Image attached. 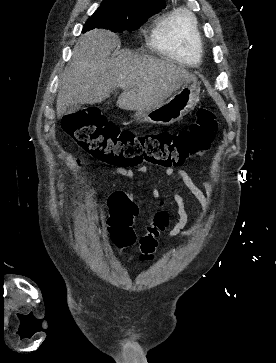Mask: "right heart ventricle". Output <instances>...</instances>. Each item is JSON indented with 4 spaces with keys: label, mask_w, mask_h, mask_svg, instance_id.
I'll use <instances>...</instances> for the list:
<instances>
[{
    "label": "right heart ventricle",
    "mask_w": 276,
    "mask_h": 363,
    "mask_svg": "<svg viewBox=\"0 0 276 363\" xmlns=\"http://www.w3.org/2000/svg\"><path fill=\"white\" fill-rule=\"evenodd\" d=\"M151 45L164 57L197 64L202 48L195 17L187 11H175L161 17L152 31Z\"/></svg>",
    "instance_id": "right-heart-ventricle-1"
}]
</instances>
